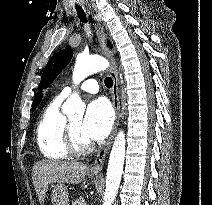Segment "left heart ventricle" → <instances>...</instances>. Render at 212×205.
<instances>
[{
	"label": "left heart ventricle",
	"instance_id": "b2bd125f",
	"mask_svg": "<svg viewBox=\"0 0 212 205\" xmlns=\"http://www.w3.org/2000/svg\"><path fill=\"white\" fill-rule=\"evenodd\" d=\"M70 123H71L73 131L75 132L77 138L81 142H88V140L81 133L82 118L81 117L74 118V119L70 120Z\"/></svg>",
	"mask_w": 212,
	"mask_h": 205
}]
</instances>
